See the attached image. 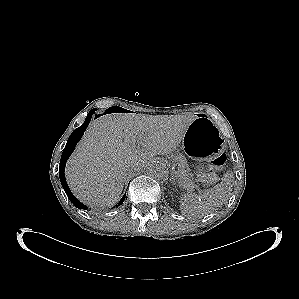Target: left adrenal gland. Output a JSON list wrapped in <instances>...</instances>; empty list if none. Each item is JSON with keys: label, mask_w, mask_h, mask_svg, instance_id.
<instances>
[{"label": "left adrenal gland", "mask_w": 299, "mask_h": 299, "mask_svg": "<svg viewBox=\"0 0 299 299\" xmlns=\"http://www.w3.org/2000/svg\"><path fill=\"white\" fill-rule=\"evenodd\" d=\"M171 182H172L173 184L175 183V176H174V174H172Z\"/></svg>", "instance_id": "obj_1"}]
</instances>
